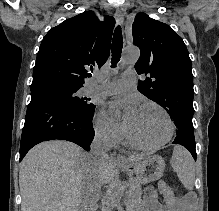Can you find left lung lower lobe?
Wrapping results in <instances>:
<instances>
[{
	"mask_svg": "<svg viewBox=\"0 0 219 211\" xmlns=\"http://www.w3.org/2000/svg\"><path fill=\"white\" fill-rule=\"evenodd\" d=\"M193 133L194 132L178 133L173 144H180L186 147L196 160L195 137Z\"/></svg>",
	"mask_w": 219,
	"mask_h": 211,
	"instance_id": "1",
	"label": "left lung lower lobe"
}]
</instances>
